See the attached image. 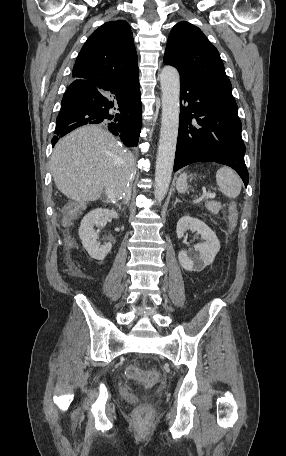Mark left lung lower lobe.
Masks as SVG:
<instances>
[{
  "label": "left lung lower lobe",
  "mask_w": 286,
  "mask_h": 456,
  "mask_svg": "<svg viewBox=\"0 0 286 456\" xmlns=\"http://www.w3.org/2000/svg\"><path fill=\"white\" fill-rule=\"evenodd\" d=\"M180 84L174 171L198 161L217 162L232 167L247 186L245 145L236 102L186 78H180ZM182 102L187 105L182 106Z\"/></svg>",
  "instance_id": "left-lung-lower-lobe-1"
}]
</instances>
